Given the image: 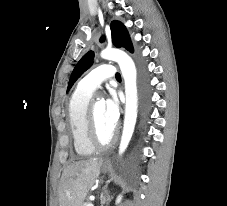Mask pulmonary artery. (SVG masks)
<instances>
[{
	"label": "pulmonary artery",
	"mask_w": 227,
	"mask_h": 206,
	"mask_svg": "<svg viewBox=\"0 0 227 206\" xmlns=\"http://www.w3.org/2000/svg\"><path fill=\"white\" fill-rule=\"evenodd\" d=\"M116 69L114 66L109 64H103L92 71H90L86 76H84L78 87L87 90V91H95L104 81L115 77Z\"/></svg>",
	"instance_id": "obj_1"
}]
</instances>
